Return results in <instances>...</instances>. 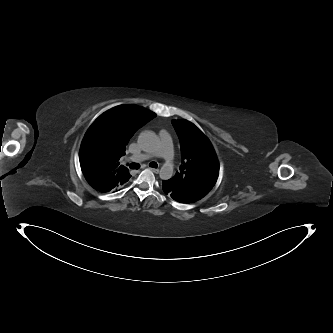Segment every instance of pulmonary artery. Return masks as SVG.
Wrapping results in <instances>:
<instances>
[{"label":"pulmonary artery","instance_id":"obj_1","mask_svg":"<svg viewBox=\"0 0 333 333\" xmlns=\"http://www.w3.org/2000/svg\"><path fill=\"white\" fill-rule=\"evenodd\" d=\"M159 137H160V144L156 151V155L162 157L165 160L166 165L170 166L172 164V159H173V145H172L171 136L167 131L161 130L159 132ZM152 157H153L152 154L142 153L139 155L131 156L130 158H128V160L134 162H142L149 160Z\"/></svg>","mask_w":333,"mask_h":333}]
</instances>
